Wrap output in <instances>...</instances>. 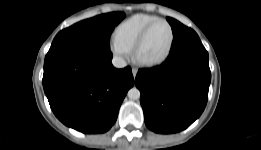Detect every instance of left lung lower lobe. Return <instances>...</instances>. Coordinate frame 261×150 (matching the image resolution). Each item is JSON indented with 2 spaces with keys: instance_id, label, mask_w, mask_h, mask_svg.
Here are the masks:
<instances>
[{
  "instance_id": "obj_1",
  "label": "left lung lower lobe",
  "mask_w": 261,
  "mask_h": 150,
  "mask_svg": "<svg viewBox=\"0 0 261 150\" xmlns=\"http://www.w3.org/2000/svg\"><path fill=\"white\" fill-rule=\"evenodd\" d=\"M210 81L208 53L198 35L186 27L174 35L164 63L137 73L135 84L147 127L162 134L186 129L202 114Z\"/></svg>"
}]
</instances>
